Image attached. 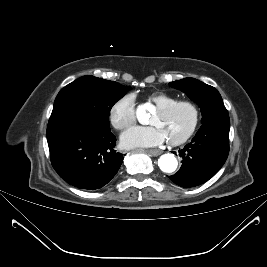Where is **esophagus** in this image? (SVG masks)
<instances>
[{"label":"esophagus","instance_id":"34e87169","mask_svg":"<svg viewBox=\"0 0 267 267\" xmlns=\"http://www.w3.org/2000/svg\"><path fill=\"white\" fill-rule=\"evenodd\" d=\"M147 152L152 156H158L162 154V151L159 149H150V150H147Z\"/></svg>","mask_w":267,"mask_h":267}]
</instances>
